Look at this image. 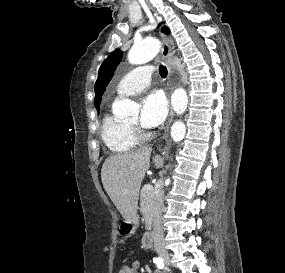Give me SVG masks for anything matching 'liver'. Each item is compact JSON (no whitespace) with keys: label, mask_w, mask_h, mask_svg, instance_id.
Masks as SVG:
<instances>
[{"label":"liver","mask_w":285,"mask_h":273,"mask_svg":"<svg viewBox=\"0 0 285 273\" xmlns=\"http://www.w3.org/2000/svg\"><path fill=\"white\" fill-rule=\"evenodd\" d=\"M151 151L150 147H143L109 156L103 163V187L125 221L137 218L139 190L150 167ZM153 162L156 168H161L164 160L155 155Z\"/></svg>","instance_id":"6515ba94"}]
</instances>
